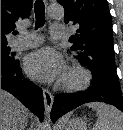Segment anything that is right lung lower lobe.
<instances>
[{
  "label": "right lung lower lobe",
  "instance_id": "right-lung-lower-lobe-1",
  "mask_svg": "<svg viewBox=\"0 0 123 130\" xmlns=\"http://www.w3.org/2000/svg\"><path fill=\"white\" fill-rule=\"evenodd\" d=\"M1 89L11 93L38 116L40 121L43 120V92L23 76L18 60L12 62L1 59Z\"/></svg>",
  "mask_w": 123,
  "mask_h": 130
}]
</instances>
